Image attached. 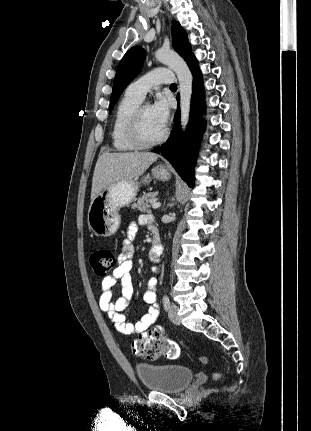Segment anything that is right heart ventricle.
Listing matches in <instances>:
<instances>
[{
    "mask_svg": "<svg viewBox=\"0 0 311 431\" xmlns=\"http://www.w3.org/2000/svg\"><path fill=\"white\" fill-rule=\"evenodd\" d=\"M142 99L130 93L124 92L118 101L113 117L111 131L112 145L116 151L129 152L137 149V146L128 137V121L133 111L139 106Z\"/></svg>",
    "mask_w": 311,
    "mask_h": 431,
    "instance_id": "obj_1",
    "label": "right heart ventricle"
}]
</instances>
